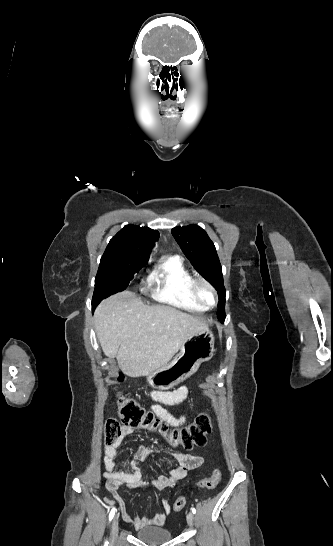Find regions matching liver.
<instances>
[{
	"mask_svg": "<svg viewBox=\"0 0 333 546\" xmlns=\"http://www.w3.org/2000/svg\"><path fill=\"white\" fill-rule=\"evenodd\" d=\"M94 325L104 354L116 357L122 372L131 377L167 365L191 336L207 330L201 318L166 305L147 306L130 291L102 301Z\"/></svg>",
	"mask_w": 333,
	"mask_h": 546,
	"instance_id": "1",
	"label": "liver"
}]
</instances>
